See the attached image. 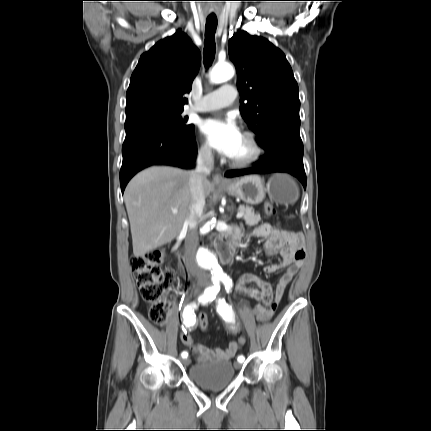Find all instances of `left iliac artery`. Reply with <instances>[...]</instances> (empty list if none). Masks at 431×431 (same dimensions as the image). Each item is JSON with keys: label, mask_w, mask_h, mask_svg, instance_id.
Listing matches in <instances>:
<instances>
[{"label": "left iliac artery", "mask_w": 431, "mask_h": 431, "mask_svg": "<svg viewBox=\"0 0 431 431\" xmlns=\"http://www.w3.org/2000/svg\"><path fill=\"white\" fill-rule=\"evenodd\" d=\"M224 285H225V289L228 292L231 289L232 286V282L229 278H225L222 280ZM218 284H215V288L212 292V298L215 299L219 289L217 288ZM217 312L224 318L227 320H231L232 316H233V310L232 307L226 303V301L223 298H219L218 299V306H217ZM245 358L243 355L238 357V362L242 363L244 362Z\"/></svg>", "instance_id": "left-iliac-artery-1"}]
</instances>
